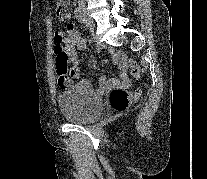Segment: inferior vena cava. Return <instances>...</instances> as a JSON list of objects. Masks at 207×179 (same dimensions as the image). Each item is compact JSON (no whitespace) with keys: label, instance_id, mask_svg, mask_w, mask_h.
Instances as JSON below:
<instances>
[{"label":"inferior vena cava","instance_id":"1","mask_svg":"<svg viewBox=\"0 0 207 179\" xmlns=\"http://www.w3.org/2000/svg\"><path fill=\"white\" fill-rule=\"evenodd\" d=\"M79 1L83 2V1H85V0H79Z\"/></svg>","mask_w":207,"mask_h":179}]
</instances>
